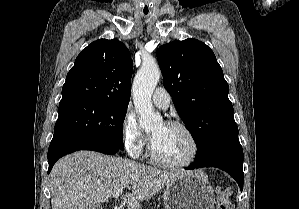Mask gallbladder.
<instances>
[{
    "label": "gallbladder",
    "mask_w": 299,
    "mask_h": 209,
    "mask_svg": "<svg viewBox=\"0 0 299 209\" xmlns=\"http://www.w3.org/2000/svg\"><path fill=\"white\" fill-rule=\"evenodd\" d=\"M91 209H102L98 204H93Z\"/></svg>",
    "instance_id": "bac80fb5"
}]
</instances>
